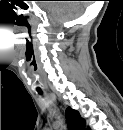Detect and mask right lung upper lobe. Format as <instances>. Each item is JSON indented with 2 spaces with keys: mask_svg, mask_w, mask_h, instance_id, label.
<instances>
[{
  "mask_svg": "<svg viewBox=\"0 0 123 130\" xmlns=\"http://www.w3.org/2000/svg\"><path fill=\"white\" fill-rule=\"evenodd\" d=\"M66 119L71 129L74 130L85 129V120L80 116L78 111L72 109L71 107H68L66 109Z\"/></svg>",
  "mask_w": 123,
  "mask_h": 130,
  "instance_id": "obj_1",
  "label": "right lung upper lobe"
}]
</instances>
